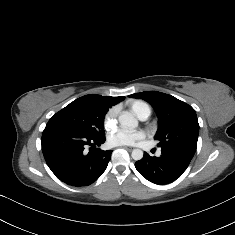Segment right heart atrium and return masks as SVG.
<instances>
[{
  "instance_id": "right-heart-atrium-1",
  "label": "right heart atrium",
  "mask_w": 235,
  "mask_h": 235,
  "mask_svg": "<svg viewBox=\"0 0 235 235\" xmlns=\"http://www.w3.org/2000/svg\"><path fill=\"white\" fill-rule=\"evenodd\" d=\"M118 114V108L116 106L111 107L104 117V126L106 128H112L116 123Z\"/></svg>"
}]
</instances>
